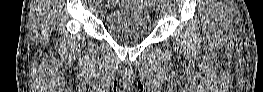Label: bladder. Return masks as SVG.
I'll return each mask as SVG.
<instances>
[{
    "instance_id": "31cf9c89",
    "label": "bladder",
    "mask_w": 263,
    "mask_h": 92,
    "mask_svg": "<svg viewBox=\"0 0 263 92\" xmlns=\"http://www.w3.org/2000/svg\"><path fill=\"white\" fill-rule=\"evenodd\" d=\"M128 6L110 10L105 17L108 34L122 44L143 41L151 32V20L141 1H126Z\"/></svg>"
}]
</instances>
